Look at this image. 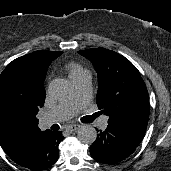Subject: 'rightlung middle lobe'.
<instances>
[{"instance_id": "dd1d6c3e", "label": "right lung middle lobe", "mask_w": 171, "mask_h": 171, "mask_svg": "<svg viewBox=\"0 0 171 171\" xmlns=\"http://www.w3.org/2000/svg\"><path fill=\"white\" fill-rule=\"evenodd\" d=\"M38 111L29 82L10 63L0 75V133L20 134L36 127Z\"/></svg>"}]
</instances>
